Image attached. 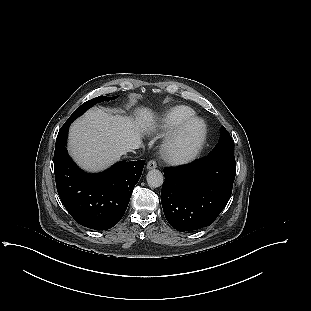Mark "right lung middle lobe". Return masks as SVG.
Masks as SVG:
<instances>
[{
    "instance_id": "dd1d6c3e",
    "label": "right lung middle lobe",
    "mask_w": 311,
    "mask_h": 311,
    "mask_svg": "<svg viewBox=\"0 0 311 311\" xmlns=\"http://www.w3.org/2000/svg\"><path fill=\"white\" fill-rule=\"evenodd\" d=\"M118 96L108 98L106 96H99L96 98H93L85 103H83L80 107H78L74 113L69 117V119L66 121V124L70 125L77 117L82 115L86 110H88L90 107L94 106L96 103L103 102V101H110L116 99Z\"/></svg>"
}]
</instances>
